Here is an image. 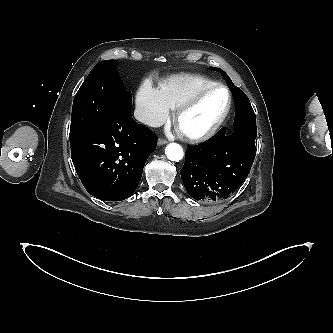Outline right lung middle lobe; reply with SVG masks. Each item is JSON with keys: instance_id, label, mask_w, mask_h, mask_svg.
<instances>
[{"instance_id": "dd1d6c3e", "label": "right lung middle lobe", "mask_w": 333, "mask_h": 333, "mask_svg": "<svg viewBox=\"0 0 333 333\" xmlns=\"http://www.w3.org/2000/svg\"><path fill=\"white\" fill-rule=\"evenodd\" d=\"M128 92V93H126ZM130 96L117 74V62L104 60L89 73L72 107L70 142L81 139L106 119L122 97Z\"/></svg>"}]
</instances>
